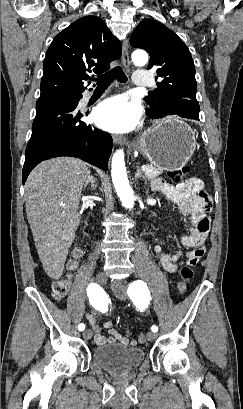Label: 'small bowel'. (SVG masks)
<instances>
[{
    "instance_id": "c3829d8e",
    "label": "small bowel",
    "mask_w": 243,
    "mask_h": 409,
    "mask_svg": "<svg viewBox=\"0 0 243 409\" xmlns=\"http://www.w3.org/2000/svg\"><path fill=\"white\" fill-rule=\"evenodd\" d=\"M155 190L163 192L168 199L178 204L182 213L187 216L190 224V233L181 235L182 245L193 248L186 252L183 264L195 266L206 252V241L210 230L209 213L212 210V199L203 189V184L198 179H193L178 184L169 183L163 179H157L153 183ZM155 257L168 273H174L178 269V260L182 256L181 252L168 254L162 251L161 246L154 248ZM108 306H105V310ZM87 320L92 325L95 332L94 343L96 345L112 344L120 342L123 345L136 346L137 340L123 337L114 328L112 321L108 320L103 325L96 324V317L93 312L86 314ZM106 330L110 336L103 335ZM139 342V341H138Z\"/></svg>"
}]
</instances>
